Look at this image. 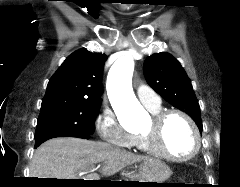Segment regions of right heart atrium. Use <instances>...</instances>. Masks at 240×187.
Instances as JSON below:
<instances>
[{
	"instance_id": "right-heart-atrium-1",
	"label": "right heart atrium",
	"mask_w": 240,
	"mask_h": 187,
	"mask_svg": "<svg viewBox=\"0 0 240 187\" xmlns=\"http://www.w3.org/2000/svg\"><path fill=\"white\" fill-rule=\"evenodd\" d=\"M95 124L97 132L104 142L125 148L134 145L135 136L122 128L111 109L105 108L97 117Z\"/></svg>"
}]
</instances>
